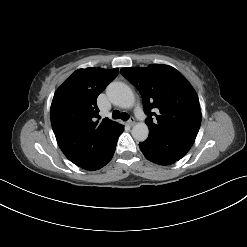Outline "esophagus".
I'll return each mask as SVG.
<instances>
[{"mask_svg": "<svg viewBox=\"0 0 247 247\" xmlns=\"http://www.w3.org/2000/svg\"><path fill=\"white\" fill-rule=\"evenodd\" d=\"M128 124H129L130 126H133V125L135 124V119H134V117H130V119L128 120Z\"/></svg>", "mask_w": 247, "mask_h": 247, "instance_id": "obj_1", "label": "esophagus"}]
</instances>
